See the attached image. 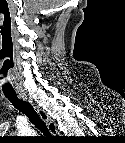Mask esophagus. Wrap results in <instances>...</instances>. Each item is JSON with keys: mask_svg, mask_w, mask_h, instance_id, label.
<instances>
[{"mask_svg": "<svg viewBox=\"0 0 125 143\" xmlns=\"http://www.w3.org/2000/svg\"><path fill=\"white\" fill-rule=\"evenodd\" d=\"M19 97L23 100H27V96L24 93H20ZM29 102L34 106L35 110L37 111L41 119L46 123L51 134L57 135L58 131L54 120L51 119V117L48 115V113L45 110L40 108L38 105L33 104L32 101H29Z\"/></svg>", "mask_w": 125, "mask_h": 143, "instance_id": "34e87169", "label": "esophagus"}]
</instances>
